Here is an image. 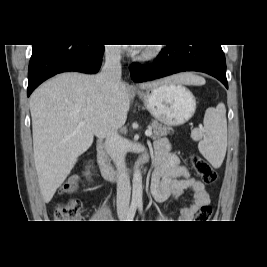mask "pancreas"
<instances>
[{"label": "pancreas", "instance_id": "obj_1", "mask_svg": "<svg viewBox=\"0 0 267 267\" xmlns=\"http://www.w3.org/2000/svg\"><path fill=\"white\" fill-rule=\"evenodd\" d=\"M151 127L153 129V139L160 138L161 136H166L171 131H173L171 127L159 124L157 121H153L151 123Z\"/></svg>", "mask_w": 267, "mask_h": 267}]
</instances>
